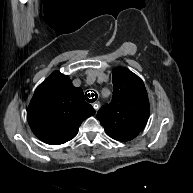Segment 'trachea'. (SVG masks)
Returning <instances> with one entry per match:
<instances>
[{
	"label": "trachea",
	"mask_w": 193,
	"mask_h": 193,
	"mask_svg": "<svg viewBox=\"0 0 193 193\" xmlns=\"http://www.w3.org/2000/svg\"><path fill=\"white\" fill-rule=\"evenodd\" d=\"M88 92V91H87ZM87 96L90 98V93H88L87 95H86V100H87V102H90V103H92V102H94L95 101V99H96V97L95 98H93V99H88L87 98ZM93 97V96H92Z\"/></svg>",
	"instance_id": "obj_1"
}]
</instances>
